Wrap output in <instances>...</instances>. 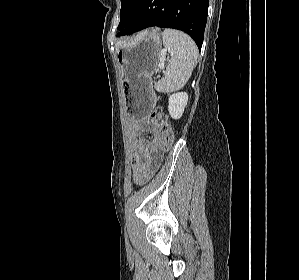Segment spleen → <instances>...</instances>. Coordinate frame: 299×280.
Here are the masks:
<instances>
[{
  "label": "spleen",
  "mask_w": 299,
  "mask_h": 280,
  "mask_svg": "<svg viewBox=\"0 0 299 280\" xmlns=\"http://www.w3.org/2000/svg\"><path fill=\"white\" fill-rule=\"evenodd\" d=\"M162 39L171 59L164 77L154 87L158 92L168 93L187 83L197 63L198 48L188 35L174 29H165Z\"/></svg>",
  "instance_id": "spleen-1"
}]
</instances>
